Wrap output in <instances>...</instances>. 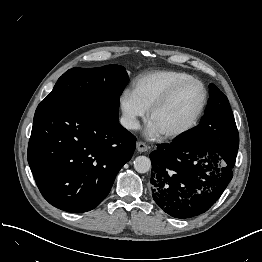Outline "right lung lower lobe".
I'll list each match as a JSON object with an SVG mask.
<instances>
[{"mask_svg":"<svg viewBox=\"0 0 262 262\" xmlns=\"http://www.w3.org/2000/svg\"><path fill=\"white\" fill-rule=\"evenodd\" d=\"M135 142L118 119L75 103L42 101L34 115L28 163L50 204L82 213L108 195Z\"/></svg>","mask_w":262,"mask_h":262,"instance_id":"right-lung-lower-lobe-1","label":"right lung lower lobe"}]
</instances>
